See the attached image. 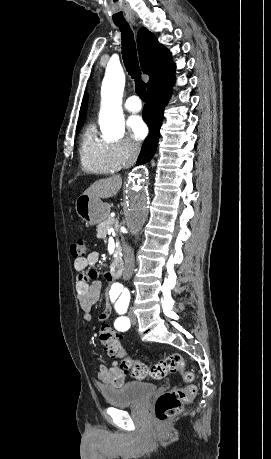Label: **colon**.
<instances>
[{"label": "colon", "mask_w": 271, "mask_h": 459, "mask_svg": "<svg viewBox=\"0 0 271 459\" xmlns=\"http://www.w3.org/2000/svg\"><path fill=\"white\" fill-rule=\"evenodd\" d=\"M71 255L74 258L86 255V244L83 239H78L70 246ZM99 339L102 346L112 358L121 359V367L129 370L131 375L138 380L153 378L160 380L168 374H180L186 383L184 387L173 388L162 393L155 401V416L159 422H165L175 417L182 409L183 405L189 402L195 395V387L191 384L193 373L186 369L185 361L180 354H171L160 360L152 367L139 360L127 357L125 349L122 347L117 332L108 324H102L99 330Z\"/></svg>", "instance_id": "1"}]
</instances>
